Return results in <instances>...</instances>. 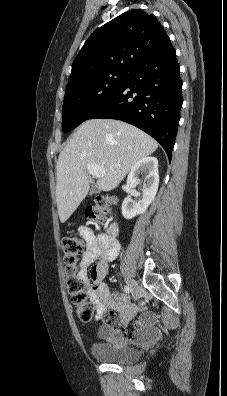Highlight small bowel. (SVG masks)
I'll return each mask as SVG.
<instances>
[{"instance_id":"small-bowel-1","label":"small bowel","mask_w":227,"mask_h":396,"mask_svg":"<svg viewBox=\"0 0 227 396\" xmlns=\"http://www.w3.org/2000/svg\"><path fill=\"white\" fill-rule=\"evenodd\" d=\"M79 233L86 243V250L82 255L77 276L88 288L97 318H104L105 323L99 327L98 336L115 344L132 341L140 345H149L157 341L161 333L154 326L155 315L152 312L142 313L136 321L135 329L127 332V326L140 312V308L133 305L127 295L111 292L103 281L108 273L109 263L119 255L118 241L104 235H96L88 227H81ZM92 265L93 268L89 272ZM115 313L118 314V319Z\"/></svg>"}]
</instances>
